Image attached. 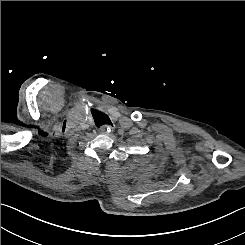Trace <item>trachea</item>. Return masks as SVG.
<instances>
[{
	"label": "trachea",
	"instance_id": "1",
	"mask_svg": "<svg viewBox=\"0 0 245 245\" xmlns=\"http://www.w3.org/2000/svg\"><path fill=\"white\" fill-rule=\"evenodd\" d=\"M94 121H95V124L97 125V127H101L103 125H112L109 117L102 112H96L94 114Z\"/></svg>",
	"mask_w": 245,
	"mask_h": 245
}]
</instances>
